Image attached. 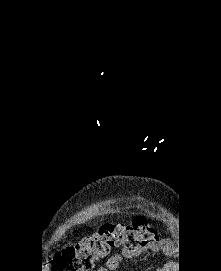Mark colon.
<instances>
[{"instance_id":"5ec220e1","label":"colon","mask_w":221,"mask_h":271,"mask_svg":"<svg viewBox=\"0 0 221 271\" xmlns=\"http://www.w3.org/2000/svg\"><path fill=\"white\" fill-rule=\"evenodd\" d=\"M156 239L148 222L136 217L130 223H105L96 233L66 244L47 256L50 271H93L115 249L140 251Z\"/></svg>"}]
</instances>
